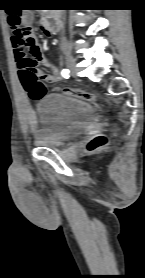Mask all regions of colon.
I'll return each mask as SVG.
<instances>
[{"label": "colon", "instance_id": "1", "mask_svg": "<svg viewBox=\"0 0 145 278\" xmlns=\"http://www.w3.org/2000/svg\"><path fill=\"white\" fill-rule=\"evenodd\" d=\"M8 23L10 26V29L15 37H17L23 46H26L28 43H30V31L29 29L22 26V20L21 17L16 14H10L8 18ZM65 93L72 94L76 97L83 98L86 100H94L95 95L92 92L88 91H80V90H73V89H67ZM106 143V139L103 136H98L94 138L89 144L87 145L88 151H94L100 147H102Z\"/></svg>", "mask_w": 145, "mask_h": 278}]
</instances>
